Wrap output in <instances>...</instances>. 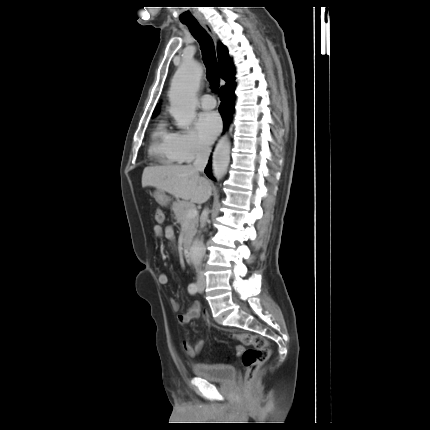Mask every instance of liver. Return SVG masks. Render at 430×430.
I'll list each match as a JSON object with an SVG mask.
<instances>
[{
  "label": "liver",
  "instance_id": "obj_1",
  "mask_svg": "<svg viewBox=\"0 0 430 430\" xmlns=\"http://www.w3.org/2000/svg\"><path fill=\"white\" fill-rule=\"evenodd\" d=\"M146 186L197 204L205 203L212 194L211 181L200 177L191 165L146 167L142 174V187Z\"/></svg>",
  "mask_w": 430,
  "mask_h": 430
}]
</instances>
